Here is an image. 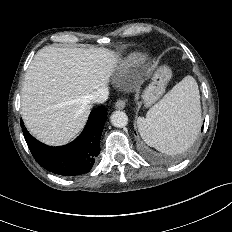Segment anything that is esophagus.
I'll use <instances>...</instances> for the list:
<instances>
[{
	"label": "esophagus",
	"instance_id": "34e87169",
	"mask_svg": "<svg viewBox=\"0 0 232 232\" xmlns=\"http://www.w3.org/2000/svg\"><path fill=\"white\" fill-rule=\"evenodd\" d=\"M125 105H126V103L123 99H118L115 103V108L116 109H124Z\"/></svg>",
	"mask_w": 232,
	"mask_h": 232
}]
</instances>
